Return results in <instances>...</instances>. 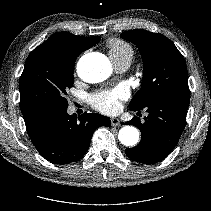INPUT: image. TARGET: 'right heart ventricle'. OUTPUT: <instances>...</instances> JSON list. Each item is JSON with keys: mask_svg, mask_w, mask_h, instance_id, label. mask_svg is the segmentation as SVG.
<instances>
[{"mask_svg": "<svg viewBox=\"0 0 211 211\" xmlns=\"http://www.w3.org/2000/svg\"><path fill=\"white\" fill-rule=\"evenodd\" d=\"M108 53L113 64L119 62L131 63L134 57L132 46L118 38H112L107 43Z\"/></svg>", "mask_w": 211, "mask_h": 211, "instance_id": "right-heart-ventricle-1", "label": "right heart ventricle"}]
</instances>
